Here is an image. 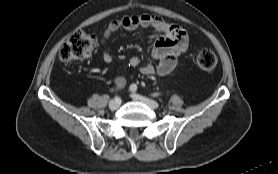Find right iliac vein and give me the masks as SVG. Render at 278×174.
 I'll return each instance as SVG.
<instances>
[{
  "label": "right iliac vein",
  "mask_w": 278,
  "mask_h": 174,
  "mask_svg": "<svg viewBox=\"0 0 278 174\" xmlns=\"http://www.w3.org/2000/svg\"><path fill=\"white\" fill-rule=\"evenodd\" d=\"M120 105H121V101L111 100V101L109 102V108H110L111 110H116V109H118V108L120 107Z\"/></svg>",
  "instance_id": "63e3f726"
}]
</instances>
